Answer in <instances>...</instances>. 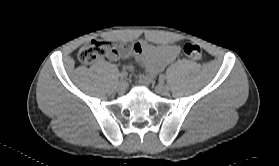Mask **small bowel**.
<instances>
[{
  "instance_id": "c3829d8e",
  "label": "small bowel",
  "mask_w": 279,
  "mask_h": 166,
  "mask_svg": "<svg viewBox=\"0 0 279 166\" xmlns=\"http://www.w3.org/2000/svg\"><path fill=\"white\" fill-rule=\"evenodd\" d=\"M139 49L134 51L137 60L146 67L145 77L151 78L156 72L164 69L173 62L180 54V47L174 44L153 45L150 42L142 41L137 43ZM130 49H125L119 53H109L107 58L117 60L119 57H127ZM129 70L132 66L127 67Z\"/></svg>"
}]
</instances>
